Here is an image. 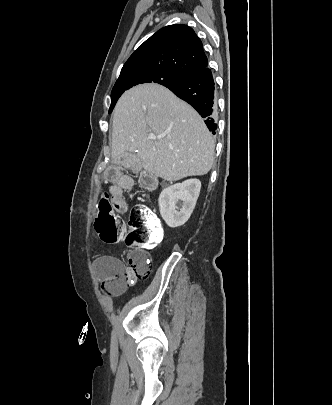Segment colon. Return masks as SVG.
I'll use <instances>...</instances> for the list:
<instances>
[{
  "instance_id": "obj_1",
  "label": "colon",
  "mask_w": 332,
  "mask_h": 405,
  "mask_svg": "<svg viewBox=\"0 0 332 405\" xmlns=\"http://www.w3.org/2000/svg\"><path fill=\"white\" fill-rule=\"evenodd\" d=\"M141 185L148 189L155 188V179L151 173L143 172L139 177ZM110 193H104L98 203V212L95 219V230L105 243L118 242L124 236L127 225L131 228L129 245L131 251L128 255V268L124 272L114 274L103 282L104 290L110 294L121 292L132 276L145 278L151 269L154 244L163 238V228L158 216L144 205H134L130 212L128 223H125L115 214L110 206ZM145 244V247H143Z\"/></svg>"
}]
</instances>
